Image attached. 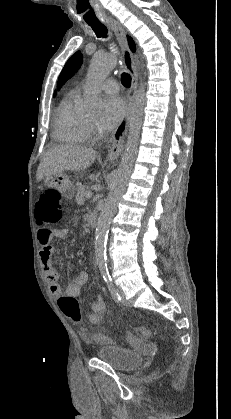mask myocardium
Listing matches in <instances>:
<instances>
[{"label": "myocardium", "mask_w": 231, "mask_h": 419, "mask_svg": "<svg viewBox=\"0 0 231 419\" xmlns=\"http://www.w3.org/2000/svg\"><path fill=\"white\" fill-rule=\"evenodd\" d=\"M89 124H90V126H92V123H91V121H89Z\"/></svg>", "instance_id": "myocardium-1"}]
</instances>
